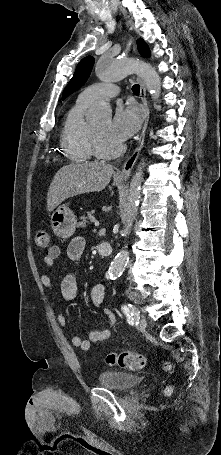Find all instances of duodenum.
I'll use <instances>...</instances> for the list:
<instances>
[{
    "label": "duodenum",
    "mask_w": 221,
    "mask_h": 455,
    "mask_svg": "<svg viewBox=\"0 0 221 455\" xmlns=\"http://www.w3.org/2000/svg\"><path fill=\"white\" fill-rule=\"evenodd\" d=\"M98 253L102 256H109L112 252V247L108 242H100L97 245Z\"/></svg>",
    "instance_id": "410a0bca"
}]
</instances>
